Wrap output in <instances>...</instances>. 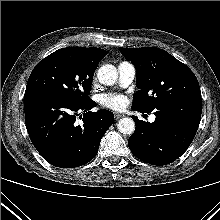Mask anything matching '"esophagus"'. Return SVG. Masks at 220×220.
<instances>
[{"mask_svg": "<svg viewBox=\"0 0 220 220\" xmlns=\"http://www.w3.org/2000/svg\"><path fill=\"white\" fill-rule=\"evenodd\" d=\"M114 117H115L116 120H118V119L124 117V115L121 114V113H117V112H116V113H114Z\"/></svg>", "mask_w": 220, "mask_h": 220, "instance_id": "esophagus-1", "label": "esophagus"}]
</instances>
